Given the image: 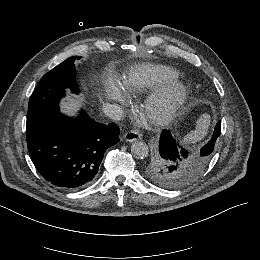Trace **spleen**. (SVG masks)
I'll return each instance as SVG.
<instances>
[{
    "label": "spleen",
    "mask_w": 260,
    "mask_h": 260,
    "mask_svg": "<svg viewBox=\"0 0 260 260\" xmlns=\"http://www.w3.org/2000/svg\"><path fill=\"white\" fill-rule=\"evenodd\" d=\"M211 124V116L208 113H203L196 121L195 130H191L180 141L182 145L195 144L207 135Z\"/></svg>",
    "instance_id": "spleen-1"
}]
</instances>
